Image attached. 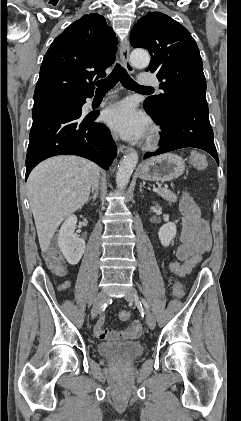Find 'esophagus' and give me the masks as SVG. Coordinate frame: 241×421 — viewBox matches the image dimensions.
<instances>
[{
	"label": "esophagus",
	"instance_id": "1",
	"mask_svg": "<svg viewBox=\"0 0 241 421\" xmlns=\"http://www.w3.org/2000/svg\"><path fill=\"white\" fill-rule=\"evenodd\" d=\"M129 54H130V46H129V41L126 39L123 41V43L120 46V58L126 70L129 73H134V67L132 66L130 62ZM119 151L121 153H128L132 151V148L126 145H120Z\"/></svg>",
	"mask_w": 241,
	"mask_h": 421
}]
</instances>
